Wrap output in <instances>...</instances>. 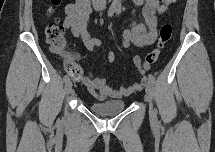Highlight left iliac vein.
I'll use <instances>...</instances> for the list:
<instances>
[{
    "instance_id": "4c4485c4",
    "label": "left iliac vein",
    "mask_w": 215,
    "mask_h": 152,
    "mask_svg": "<svg viewBox=\"0 0 215 152\" xmlns=\"http://www.w3.org/2000/svg\"><path fill=\"white\" fill-rule=\"evenodd\" d=\"M152 95H153V84L150 81H148L146 84V99L150 103V117L152 119H155L156 118V111L152 106Z\"/></svg>"
}]
</instances>
